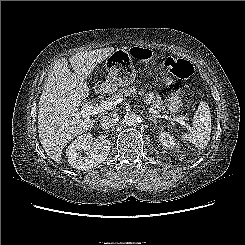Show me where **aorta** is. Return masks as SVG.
<instances>
[{
	"instance_id": "762f6f07",
	"label": "aorta",
	"mask_w": 245,
	"mask_h": 245,
	"mask_svg": "<svg viewBox=\"0 0 245 245\" xmlns=\"http://www.w3.org/2000/svg\"><path fill=\"white\" fill-rule=\"evenodd\" d=\"M124 122L128 126H135L139 122V117L137 114L129 112L124 116Z\"/></svg>"
}]
</instances>
